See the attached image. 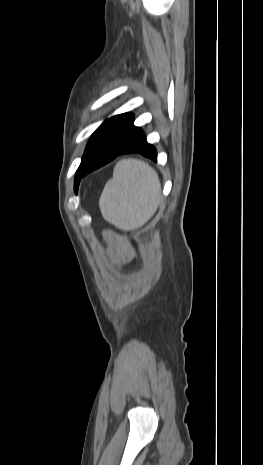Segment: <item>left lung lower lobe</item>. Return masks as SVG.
Listing matches in <instances>:
<instances>
[{"label":"left lung lower lobe","mask_w":263,"mask_h":465,"mask_svg":"<svg viewBox=\"0 0 263 465\" xmlns=\"http://www.w3.org/2000/svg\"><path fill=\"white\" fill-rule=\"evenodd\" d=\"M125 153H140L157 160L156 149L146 141L142 131L133 125L130 113L119 115L103 132L81 170L82 177Z\"/></svg>","instance_id":"left-lung-lower-lobe-1"}]
</instances>
